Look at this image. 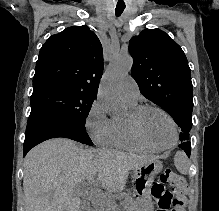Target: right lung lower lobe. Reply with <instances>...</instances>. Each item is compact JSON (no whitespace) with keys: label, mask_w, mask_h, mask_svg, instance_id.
Segmentation results:
<instances>
[{"label":"right lung lower lobe","mask_w":219,"mask_h":211,"mask_svg":"<svg viewBox=\"0 0 219 211\" xmlns=\"http://www.w3.org/2000/svg\"><path fill=\"white\" fill-rule=\"evenodd\" d=\"M57 137L93 145L85 128L47 112H34L28 118L23 156L37 144Z\"/></svg>","instance_id":"obj_1"}]
</instances>
